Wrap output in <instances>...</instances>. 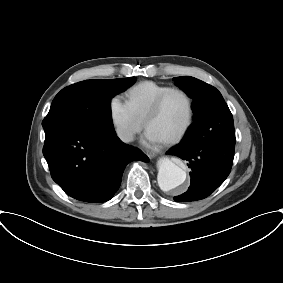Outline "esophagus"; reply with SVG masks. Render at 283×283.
<instances>
[{
  "label": "esophagus",
  "instance_id": "1",
  "mask_svg": "<svg viewBox=\"0 0 283 283\" xmlns=\"http://www.w3.org/2000/svg\"><path fill=\"white\" fill-rule=\"evenodd\" d=\"M147 155H148L149 158H153V157L156 156V154L154 152H149Z\"/></svg>",
  "mask_w": 283,
  "mask_h": 283
}]
</instances>
